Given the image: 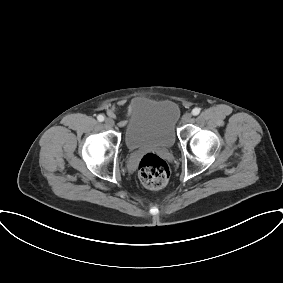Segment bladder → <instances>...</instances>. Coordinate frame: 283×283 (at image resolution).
<instances>
[{
    "mask_svg": "<svg viewBox=\"0 0 283 283\" xmlns=\"http://www.w3.org/2000/svg\"><path fill=\"white\" fill-rule=\"evenodd\" d=\"M180 117L178 105L172 100H140L132 106L124 132L129 150L142 148L170 149L176 140Z\"/></svg>",
    "mask_w": 283,
    "mask_h": 283,
    "instance_id": "31cf9c89",
    "label": "bladder"
}]
</instances>
